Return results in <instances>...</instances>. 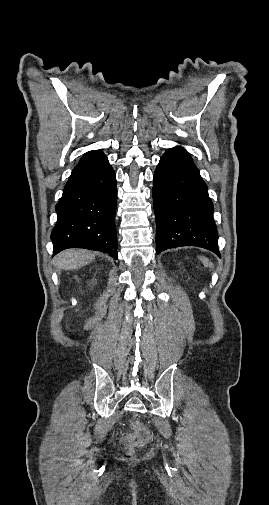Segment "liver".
Here are the masks:
<instances>
[{"label":"liver","mask_w":269,"mask_h":505,"mask_svg":"<svg viewBox=\"0 0 269 505\" xmlns=\"http://www.w3.org/2000/svg\"><path fill=\"white\" fill-rule=\"evenodd\" d=\"M95 259V255L81 249H68L54 257V266L59 270L81 268Z\"/></svg>","instance_id":"liver-1"}]
</instances>
